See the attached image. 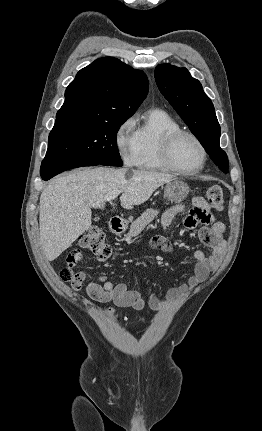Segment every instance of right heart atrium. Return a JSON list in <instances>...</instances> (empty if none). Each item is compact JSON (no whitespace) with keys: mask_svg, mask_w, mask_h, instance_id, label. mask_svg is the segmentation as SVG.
<instances>
[{"mask_svg":"<svg viewBox=\"0 0 262 431\" xmlns=\"http://www.w3.org/2000/svg\"><path fill=\"white\" fill-rule=\"evenodd\" d=\"M115 146L127 165L135 164L136 138L133 118H127L117 128L115 133Z\"/></svg>","mask_w":262,"mask_h":431,"instance_id":"1","label":"right heart atrium"}]
</instances>
